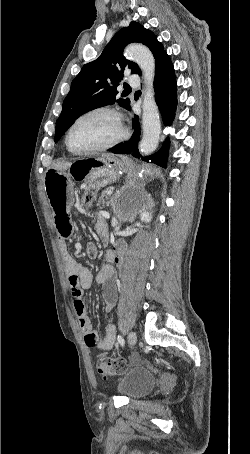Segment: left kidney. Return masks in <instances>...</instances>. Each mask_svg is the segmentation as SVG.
<instances>
[{
	"label": "left kidney",
	"mask_w": 250,
	"mask_h": 454,
	"mask_svg": "<svg viewBox=\"0 0 250 454\" xmlns=\"http://www.w3.org/2000/svg\"><path fill=\"white\" fill-rule=\"evenodd\" d=\"M140 216H141V221H143L145 223H149L152 219V215L148 211L142 212Z\"/></svg>",
	"instance_id": "left-kidney-1"
}]
</instances>
